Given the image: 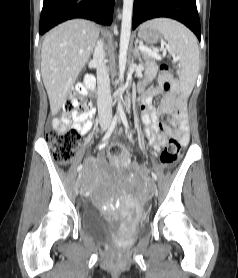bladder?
<instances>
[{
	"mask_svg": "<svg viewBox=\"0 0 238 278\" xmlns=\"http://www.w3.org/2000/svg\"><path fill=\"white\" fill-rule=\"evenodd\" d=\"M120 221L111 220L101 214L96 208L88 206L82 214L81 226L83 231L97 241L115 245L118 241L134 238L145 231L144 220L136 222L130 230L122 233L119 230Z\"/></svg>",
	"mask_w": 238,
	"mask_h": 278,
	"instance_id": "1",
	"label": "bladder"
}]
</instances>
